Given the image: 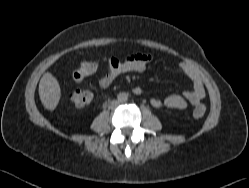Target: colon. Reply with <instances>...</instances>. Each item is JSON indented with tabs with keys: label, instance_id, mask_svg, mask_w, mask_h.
<instances>
[{
	"label": "colon",
	"instance_id": "obj_1",
	"mask_svg": "<svg viewBox=\"0 0 249 188\" xmlns=\"http://www.w3.org/2000/svg\"><path fill=\"white\" fill-rule=\"evenodd\" d=\"M96 69V65L93 62L85 61L81 63L73 72V79L80 81L84 77L91 75ZM69 99L71 103L77 107H83L90 103L92 95L86 90H74L70 93ZM206 112V107L203 104H199L193 110V116L195 118H201Z\"/></svg>",
	"mask_w": 249,
	"mask_h": 188
}]
</instances>
